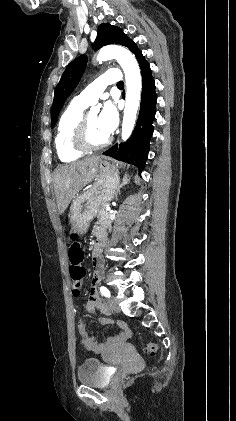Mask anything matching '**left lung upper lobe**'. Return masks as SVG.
Masks as SVG:
<instances>
[{
  "label": "left lung upper lobe",
  "instance_id": "left-lung-upper-lobe-1",
  "mask_svg": "<svg viewBox=\"0 0 236 421\" xmlns=\"http://www.w3.org/2000/svg\"><path fill=\"white\" fill-rule=\"evenodd\" d=\"M109 44L123 45L128 47L130 50L137 47L136 44L129 39L120 28L103 23L98 27V34L93 44V48L94 50H98L102 46ZM86 62L87 57L85 55L77 57L67 66L62 74L60 82L55 89L54 101L51 109L52 128L56 124L58 114L61 111L65 100L80 81L86 67Z\"/></svg>",
  "mask_w": 236,
  "mask_h": 421
}]
</instances>
